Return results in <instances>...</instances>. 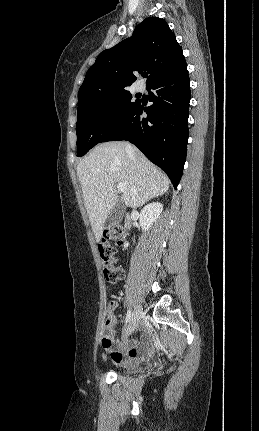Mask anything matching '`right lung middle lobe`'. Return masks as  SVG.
Returning a JSON list of instances; mask_svg holds the SVG:
<instances>
[{
  "instance_id": "obj_1",
  "label": "right lung middle lobe",
  "mask_w": 259,
  "mask_h": 431,
  "mask_svg": "<svg viewBox=\"0 0 259 431\" xmlns=\"http://www.w3.org/2000/svg\"><path fill=\"white\" fill-rule=\"evenodd\" d=\"M137 104L126 89L90 95L78 103L77 156L102 142Z\"/></svg>"
}]
</instances>
